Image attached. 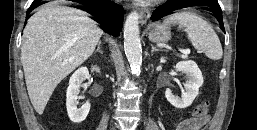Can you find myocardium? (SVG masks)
I'll return each mask as SVG.
<instances>
[{
  "instance_id": "obj_1",
  "label": "myocardium",
  "mask_w": 257,
  "mask_h": 130,
  "mask_svg": "<svg viewBox=\"0 0 257 130\" xmlns=\"http://www.w3.org/2000/svg\"><path fill=\"white\" fill-rule=\"evenodd\" d=\"M152 1L157 2V1H160V0H152Z\"/></svg>"
}]
</instances>
